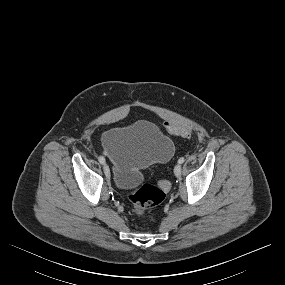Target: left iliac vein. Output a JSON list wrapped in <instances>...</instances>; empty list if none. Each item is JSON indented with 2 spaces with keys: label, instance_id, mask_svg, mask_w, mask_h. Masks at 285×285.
Listing matches in <instances>:
<instances>
[{
  "label": "left iliac vein",
  "instance_id": "4c4485c4",
  "mask_svg": "<svg viewBox=\"0 0 285 285\" xmlns=\"http://www.w3.org/2000/svg\"><path fill=\"white\" fill-rule=\"evenodd\" d=\"M181 172H182L181 165L177 164L174 167V174H175V176L179 177L181 175Z\"/></svg>",
  "mask_w": 285,
  "mask_h": 285
}]
</instances>
